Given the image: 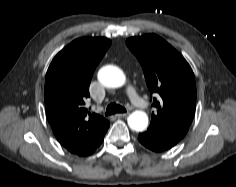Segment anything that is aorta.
<instances>
[{
  "label": "aorta",
  "instance_id": "1",
  "mask_svg": "<svg viewBox=\"0 0 236 187\" xmlns=\"http://www.w3.org/2000/svg\"><path fill=\"white\" fill-rule=\"evenodd\" d=\"M99 82L108 88H118L125 84L126 77L123 71L113 65H106L98 72ZM128 125L132 130L144 131L148 126V116L143 111H134L128 117Z\"/></svg>",
  "mask_w": 236,
  "mask_h": 187
}]
</instances>
